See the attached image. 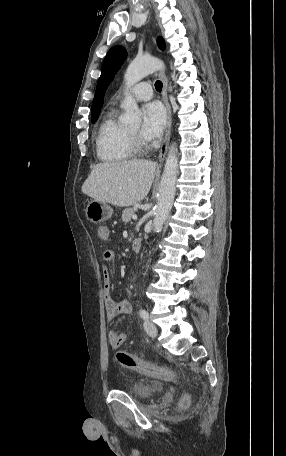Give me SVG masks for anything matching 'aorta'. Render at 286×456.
<instances>
[{
	"mask_svg": "<svg viewBox=\"0 0 286 456\" xmlns=\"http://www.w3.org/2000/svg\"><path fill=\"white\" fill-rule=\"evenodd\" d=\"M162 61L155 57L135 58L128 66L124 79L127 89L139 82L144 77L157 70L163 69ZM125 114L122 117V122L128 125H140L141 111L128 92L124 102ZM178 174V156L177 149L172 145L165 162L164 171L162 174L157 204L154 210L153 227L154 230L161 229L165 223L173 205L176 193V179Z\"/></svg>",
	"mask_w": 286,
	"mask_h": 456,
	"instance_id": "obj_1",
	"label": "aorta"
}]
</instances>
